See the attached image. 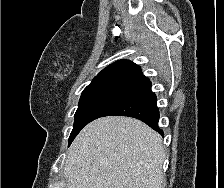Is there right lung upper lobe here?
<instances>
[{
  "mask_svg": "<svg viewBox=\"0 0 224 188\" xmlns=\"http://www.w3.org/2000/svg\"><path fill=\"white\" fill-rule=\"evenodd\" d=\"M142 74L141 68L129 60H119L104 68L93 81L124 79L132 81Z\"/></svg>",
  "mask_w": 224,
  "mask_h": 188,
  "instance_id": "right-lung-upper-lobe-1",
  "label": "right lung upper lobe"
}]
</instances>
